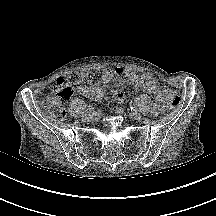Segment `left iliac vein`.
<instances>
[{
    "mask_svg": "<svg viewBox=\"0 0 216 216\" xmlns=\"http://www.w3.org/2000/svg\"><path fill=\"white\" fill-rule=\"evenodd\" d=\"M130 116L133 120H140L141 119V114L138 111L130 112Z\"/></svg>",
    "mask_w": 216,
    "mask_h": 216,
    "instance_id": "1",
    "label": "left iliac vein"
}]
</instances>
